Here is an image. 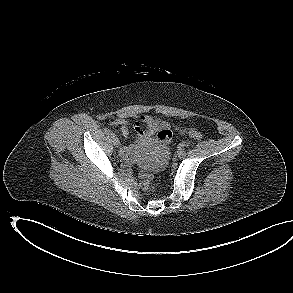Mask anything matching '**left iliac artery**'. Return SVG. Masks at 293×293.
Segmentation results:
<instances>
[{"label": "left iliac artery", "mask_w": 293, "mask_h": 293, "mask_svg": "<svg viewBox=\"0 0 293 293\" xmlns=\"http://www.w3.org/2000/svg\"><path fill=\"white\" fill-rule=\"evenodd\" d=\"M187 147H188V144L186 142H183V143L180 144L179 150L180 151H185Z\"/></svg>", "instance_id": "44dca946"}]
</instances>
